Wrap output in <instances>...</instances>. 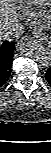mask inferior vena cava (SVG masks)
<instances>
[{"instance_id":"602c4592","label":"inferior vena cava","mask_w":51,"mask_h":153,"mask_svg":"<svg viewBox=\"0 0 51 153\" xmlns=\"http://www.w3.org/2000/svg\"><path fill=\"white\" fill-rule=\"evenodd\" d=\"M24 33V28L21 24L15 23L12 26L4 28L0 32V41L17 40Z\"/></svg>"}]
</instances>
